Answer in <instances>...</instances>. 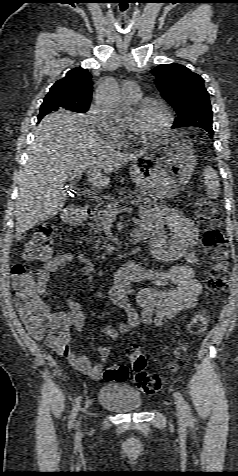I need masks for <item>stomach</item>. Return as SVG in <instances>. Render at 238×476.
<instances>
[{"label":"stomach","mask_w":238,"mask_h":476,"mask_svg":"<svg viewBox=\"0 0 238 476\" xmlns=\"http://www.w3.org/2000/svg\"><path fill=\"white\" fill-rule=\"evenodd\" d=\"M194 149L173 132L145 149L130 168L133 182L148 197L171 198L184 188L196 166Z\"/></svg>","instance_id":"obj_1"}]
</instances>
